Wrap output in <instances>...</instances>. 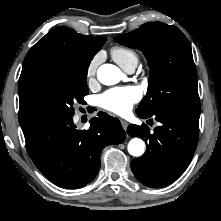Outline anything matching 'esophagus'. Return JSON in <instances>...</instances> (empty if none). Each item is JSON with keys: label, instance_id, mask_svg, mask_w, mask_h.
Instances as JSON below:
<instances>
[{"label": "esophagus", "instance_id": "obj_1", "mask_svg": "<svg viewBox=\"0 0 221 221\" xmlns=\"http://www.w3.org/2000/svg\"><path fill=\"white\" fill-rule=\"evenodd\" d=\"M121 125L124 128V130H127V127H128V122L127 121L121 120Z\"/></svg>", "mask_w": 221, "mask_h": 221}]
</instances>
